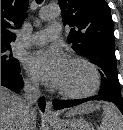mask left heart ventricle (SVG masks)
I'll use <instances>...</instances> for the list:
<instances>
[{
    "label": "left heart ventricle",
    "mask_w": 123,
    "mask_h": 130,
    "mask_svg": "<svg viewBox=\"0 0 123 130\" xmlns=\"http://www.w3.org/2000/svg\"><path fill=\"white\" fill-rule=\"evenodd\" d=\"M91 71L79 63H67L57 87L73 92L87 90L92 84Z\"/></svg>",
    "instance_id": "1"
}]
</instances>
